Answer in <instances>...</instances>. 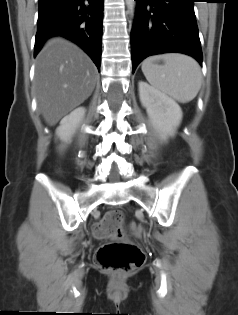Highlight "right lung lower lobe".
Listing matches in <instances>:
<instances>
[{
    "mask_svg": "<svg viewBox=\"0 0 238 315\" xmlns=\"http://www.w3.org/2000/svg\"><path fill=\"white\" fill-rule=\"evenodd\" d=\"M104 0H39L34 56L51 36H64L101 64Z\"/></svg>",
    "mask_w": 238,
    "mask_h": 315,
    "instance_id": "98d812e1",
    "label": "right lung lower lobe"
}]
</instances>
